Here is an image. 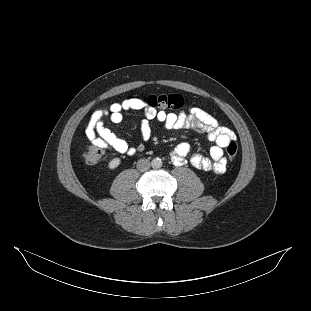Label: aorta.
Here are the masks:
<instances>
[{
  "label": "aorta",
  "instance_id": "762f6f07",
  "mask_svg": "<svg viewBox=\"0 0 311 311\" xmlns=\"http://www.w3.org/2000/svg\"><path fill=\"white\" fill-rule=\"evenodd\" d=\"M151 165L155 169L160 168L162 166V160L160 158H154L152 159Z\"/></svg>",
  "mask_w": 311,
  "mask_h": 311
}]
</instances>
